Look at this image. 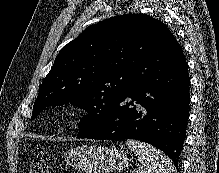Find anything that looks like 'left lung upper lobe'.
Here are the masks:
<instances>
[{
	"label": "left lung upper lobe",
	"instance_id": "obj_1",
	"mask_svg": "<svg viewBox=\"0 0 219 173\" xmlns=\"http://www.w3.org/2000/svg\"><path fill=\"white\" fill-rule=\"evenodd\" d=\"M145 14L115 16L86 28L65 45L43 79L31 119L47 106L70 102L87 110L77 137L98 130L132 88L136 65L170 34Z\"/></svg>",
	"mask_w": 219,
	"mask_h": 173
}]
</instances>
